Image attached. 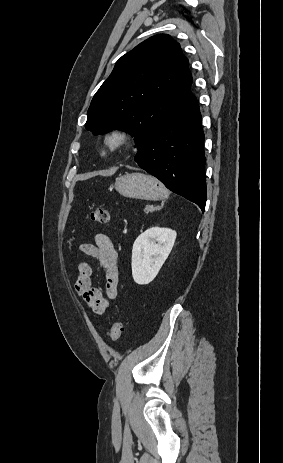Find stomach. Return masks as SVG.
I'll list each match as a JSON object with an SVG mask.
<instances>
[{
	"mask_svg": "<svg viewBox=\"0 0 283 463\" xmlns=\"http://www.w3.org/2000/svg\"><path fill=\"white\" fill-rule=\"evenodd\" d=\"M115 189L124 197L142 200H159L166 188L156 178L142 173H127L116 179Z\"/></svg>",
	"mask_w": 283,
	"mask_h": 463,
	"instance_id": "1",
	"label": "stomach"
}]
</instances>
